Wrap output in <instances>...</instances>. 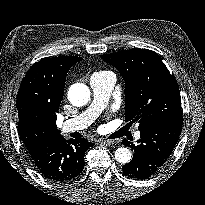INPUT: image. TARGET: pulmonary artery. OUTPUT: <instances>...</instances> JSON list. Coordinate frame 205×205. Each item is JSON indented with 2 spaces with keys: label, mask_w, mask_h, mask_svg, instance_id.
I'll return each mask as SVG.
<instances>
[{
  "label": "pulmonary artery",
  "mask_w": 205,
  "mask_h": 205,
  "mask_svg": "<svg viewBox=\"0 0 205 205\" xmlns=\"http://www.w3.org/2000/svg\"><path fill=\"white\" fill-rule=\"evenodd\" d=\"M115 82L116 76L112 72L104 71L92 74L90 77V87L93 92V100L90 106L78 116L62 122V132L78 131L91 125L107 106ZM135 136L139 138L140 132H136Z\"/></svg>",
  "instance_id": "1"
}]
</instances>
